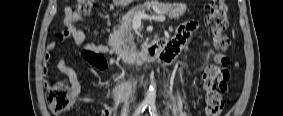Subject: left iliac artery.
<instances>
[{
  "instance_id": "obj_1",
  "label": "left iliac artery",
  "mask_w": 283,
  "mask_h": 116,
  "mask_svg": "<svg viewBox=\"0 0 283 116\" xmlns=\"http://www.w3.org/2000/svg\"><path fill=\"white\" fill-rule=\"evenodd\" d=\"M149 112L151 116H157L156 106L155 103H150L149 105Z\"/></svg>"
}]
</instances>
